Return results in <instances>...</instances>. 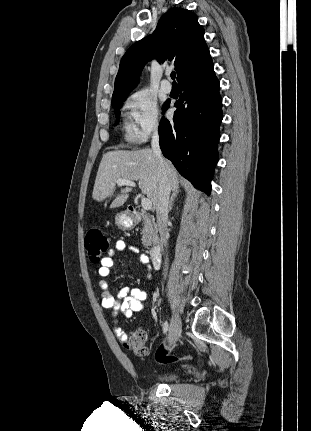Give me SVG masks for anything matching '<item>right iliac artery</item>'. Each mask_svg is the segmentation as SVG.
I'll return each instance as SVG.
<instances>
[{"label":"right iliac artery","instance_id":"1","mask_svg":"<svg viewBox=\"0 0 311 431\" xmlns=\"http://www.w3.org/2000/svg\"><path fill=\"white\" fill-rule=\"evenodd\" d=\"M168 329H169V324L167 321H165L163 324V332L166 334Z\"/></svg>","mask_w":311,"mask_h":431}]
</instances>
